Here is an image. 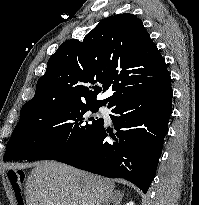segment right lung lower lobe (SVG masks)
<instances>
[{
	"label": "right lung lower lobe",
	"mask_w": 199,
	"mask_h": 205,
	"mask_svg": "<svg viewBox=\"0 0 199 205\" xmlns=\"http://www.w3.org/2000/svg\"><path fill=\"white\" fill-rule=\"evenodd\" d=\"M171 77L142 78L108 108L116 134L102 125L78 151L59 162L109 178H124L146 193L155 176L172 113ZM111 141L105 140L108 136Z\"/></svg>",
	"instance_id": "obj_1"
}]
</instances>
